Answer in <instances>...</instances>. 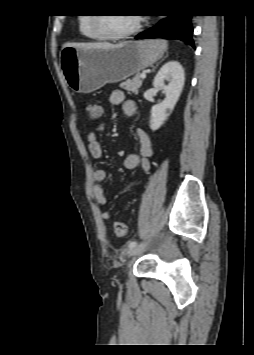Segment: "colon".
Instances as JSON below:
<instances>
[{"label": "colon", "instance_id": "colon-1", "mask_svg": "<svg viewBox=\"0 0 254 355\" xmlns=\"http://www.w3.org/2000/svg\"><path fill=\"white\" fill-rule=\"evenodd\" d=\"M85 111L90 121H96L101 116L102 107L97 103H89L85 105ZM113 229L115 235L118 237H124L128 234V227L124 222H115L113 224Z\"/></svg>", "mask_w": 254, "mask_h": 355}]
</instances>
